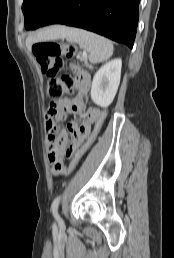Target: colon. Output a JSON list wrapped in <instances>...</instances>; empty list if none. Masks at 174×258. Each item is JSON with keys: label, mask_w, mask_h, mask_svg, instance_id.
Listing matches in <instances>:
<instances>
[{"label": "colon", "mask_w": 174, "mask_h": 258, "mask_svg": "<svg viewBox=\"0 0 174 258\" xmlns=\"http://www.w3.org/2000/svg\"><path fill=\"white\" fill-rule=\"evenodd\" d=\"M33 54L42 73L48 77L47 94L52 100L61 98L64 94H73L75 79L69 74L58 76L63 68V58L72 59L76 55V47L71 43L58 41L38 42L33 45ZM107 116L106 110H99L93 128L85 142L75 153L67 172L73 173L80 165L83 157L96 142Z\"/></svg>", "instance_id": "colon-1"}]
</instances>
